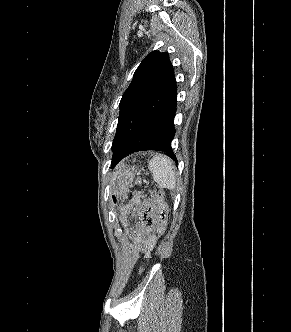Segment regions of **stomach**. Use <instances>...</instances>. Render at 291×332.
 I'll list each match as a JSON object with an SVG mask.
<instances>
[{
    "mask_svg": "<svg viewBox=\"0 0 291 332\" xmlns=\"http://www.w3.org/2000/svg\"><path fill=\"white\" fill-rule=\"evenodd\" d=\"M135 172L134 168H121L114 173L113 186L119 194L127 192L128 186L132 182Z\"/></svg>",
    "mask_w": 291,
    "mask_h": 332,
    "instance_id": "obj_1",
    "label": "stomach"
}]
</instances>
